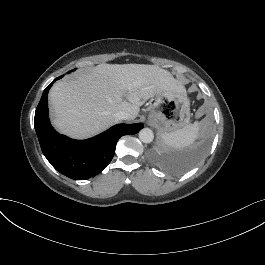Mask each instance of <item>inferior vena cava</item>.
<instances>
[{
    "label": "inferior vena cava",
    "mask_w": 265,
    "mask_h": 265,
    "mask_svg": "<svg viewBox=\"0 0 265 265\" xmlns=\"http://www.w3.org/2000/svg\"><path fill=\"white\" fill-rule=\"evenodd\" d=\"M112 115L117 121L118 120H127L129 118V113L126 111H116Z\"/></svg>",
    "instance_id": "602c4592"
}]
</instances>
